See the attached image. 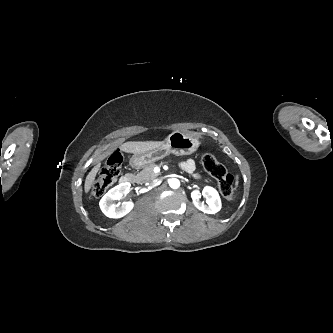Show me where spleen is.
Returning a JSON list of instances; mask_svg holds the SVG:
<instances>
[{
	"instance_id": "spleen-1",
	"label": "spleen",
	"mask_w": 333,
	"mask_h": 333,
	"mask_svg": "<svg viewBox=\"0 0 333 333\" xmlns=\"http://www.w3.org/2000/svg\"><path fill=\"white\" fill-rule=\"evenodd\" d=\"M237 179H238V177H236ZM235 185L237 186L238 185V181L236 180V183H235Z\"/></svg>"
}]
</instances>
